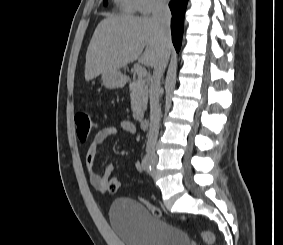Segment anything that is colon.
<instances>
[{
	"mask_svg": "<svg viewBox=\"0 0 283 245\" xmlns=\"http://www.w3.org/2000/svg\"><path fill=\"white\" fill-rule=\"evenodd\" d=\"M75 123L77 127V135L81 142L88 140L90 134L94 129V123L90 115L86 112H80L75 116ZM120 186V181L117 178H111L108 183V192H116ZM144 205L152 212V214L157 217H162V212L159 208L154 206L148 201H144ZM200 236L203 241L208 245H214L216 242V237L213 233L209 231H201Z\"/></svg>",
	"mask_w": 283,
	"mask_h": 245,
	"instance_id": "colon-1",
	"label": "colon"
}]
</instances>
